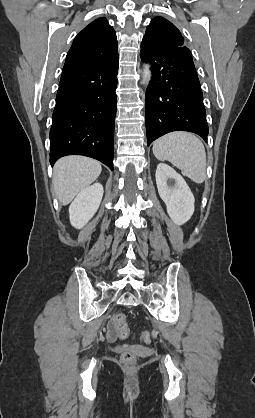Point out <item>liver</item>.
<instances>
[{"label": "liver", "instance_id": "obj_1", "mask_svg": "<svg viewBox=\"0 0 255 418\" xmlns=\"http://www.w3.org/2000/svg\"><path fill=\"white\" fill-rule=\"evenodd\" d=\"M101 171V163L92 158L67 156L59 159L53 170L54 191L59 202L69 204L99 177Z\"/></svg>", "mask_w": 255, "mask_h": 418}]
</instances>
